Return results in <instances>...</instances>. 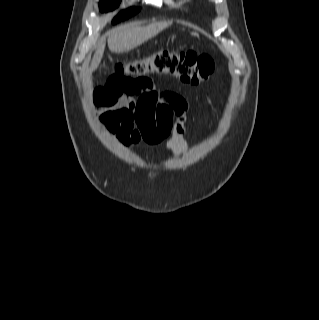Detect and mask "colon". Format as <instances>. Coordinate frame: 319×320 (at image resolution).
<instances>
[{
	"mask_svg": "<svg viewBox=\"0 0 319 320\" xmlns=\"http://www.w3.org/2000/svg\"><path fill=\"white\" fill-rule=\"evenodd\" d=\"M216 71L214 61L206 55L193 51L162 49L144 58L115 66V73L109 79L110 85L127 88L139 85L154 75H169L188 84H200ZM124 132L130 142L144 141L157 144L171 133L170 125L159 123L153 114L136 113L128 117Z\"/></svg>",
	"mask_w": 319,
	"mask_h": 320,
	"instance_id": "colon-1",
	"label": "colon"
}]
</instances>
